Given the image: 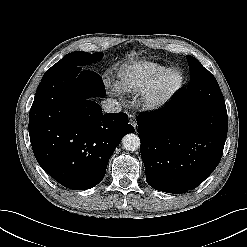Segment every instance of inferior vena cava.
I'll list each match as a JSON object with an SVG mask.
<instances>
[{"instance_id": "1", "label": "inferior vena cava", "mask_w": 247, "mask_h": 247, "mask_svg": "<svg viewBox=\"0 0 247 247\" xmlns=\"http://www.w3.org/2000/svg\"><path fill=\"white\" fill-rule=\"evenodd\" d=\"M102 108L106 113H119L121 112V105L115 99L107 98L102 101Z\"/></svg>"}]
</instances>
